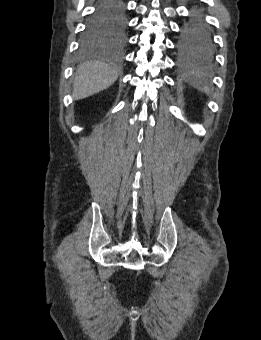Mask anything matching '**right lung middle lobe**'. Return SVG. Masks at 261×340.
<instances>
[{"label": "right lung middle lobe", "mask_w": 261, "mask_h": 340, "mask_svg": "<svg viewBox=\"0 0 261 340\" xmlns=\"http://www.w3.org/2000/svg\"><path fill=\"white\" fill-rule=\"evenodd\" d=\"M125 28V11L115 15L94 12L87 21L82 36V44L85 47H90L110 39L122 40L125 35Z\"/></svg>", "instance_id": "1"}]
</instances>
